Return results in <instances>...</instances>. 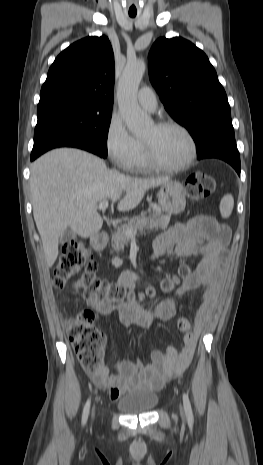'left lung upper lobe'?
<instances>
[{
  "mask_svg": "<svg viewBox=\"0 0 263 465\" xmlns=\"http://www.w3.org/2000/svg\"><path fill=\"white\" fill-rule=\"evenodd\" d=\"M150 81L172 118L188 129L197 152L234 137L230 105L205 53L181 37L159 38L149 56Z\"/></svg>",
  "mask_w": 263,
  "mask_h": 465,
  "instance_id": "1",
  "label": "left lung upper lobe"
}]
</instances>
